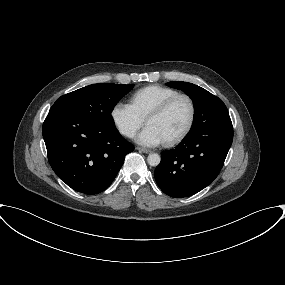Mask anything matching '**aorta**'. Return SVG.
I'll return each mask as SVG.
<instances>
[{"instance_id": "obj_1", "label": "aorta", "mask_w": 285, "mask_h": 285, "mask_svg": "<svg viewBox=\"0 0 285 285\" xmlns=\"http://www.w3.org/2000/svg\"><path fill=\"white\" fill-rule=\"evenodd\" d=\"M161 157L157 153L149 154L147 157V162L150 166L156 167L160 164Z\"/></svg>"}]
</instances>
